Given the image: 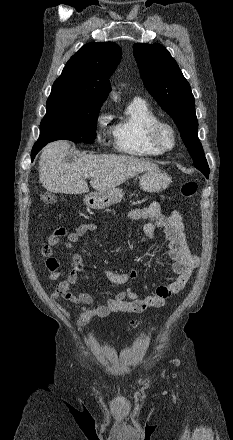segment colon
<instances>
[{"mask_svg":"<svg viewBox=\"0 0 233 440\" xmlns=\"http://www.w3.org/2000/svg\"><path fill=\"white\" fill-rule=\"evenodd\" d=\"M198 190V183L196 180L185 181L180 188V193L183 197L189 198L196 194ZM43 202L45 204H53L55 202L54 197L51 194H45L43 196ZM138 322L134 321L131 323V327H137Z\"/></svg>","mask_w":233,"mask_h":440,"instance_id":"5ec220e1","label":"colon"}]
</instances>
